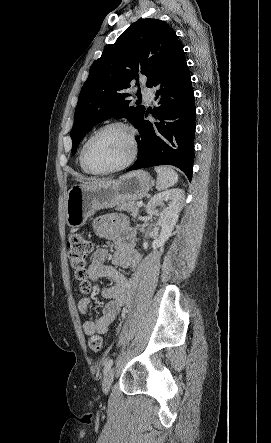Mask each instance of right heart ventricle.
I'll list each match as a JSON object with an SVG mask.
<instances>
[{
	"label": "right heart ventricle",
	"mask_w": 271,
	"mask_h": 443,
	"mask_svg": "<svg viewBox=\"0 0 271 443\" xmlns=\"http://www.w3.org/2000/svg\"><path fill=\"white\" fill-rule=\"evenodd\" d=\"M84 143H85V141H84ZM84 143L82 144V146H81V148H80V150H79V152H78L77 163H78V166H79L80 170H81L84 174H87V175H93L94 173H92V172H90L89 170H87V169L84 167L83 163H82V159H81V151H82V147H83Z\"/></svg>",
	"instance_id": "e07e8e85"
}]
</instances>
